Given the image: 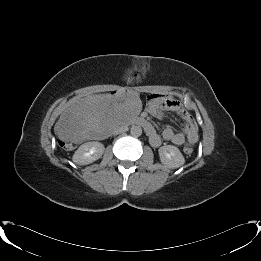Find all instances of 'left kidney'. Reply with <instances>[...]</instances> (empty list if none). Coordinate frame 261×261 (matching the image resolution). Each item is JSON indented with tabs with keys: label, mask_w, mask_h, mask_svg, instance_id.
Returning a JSON list of instances; mask_svg holds the SVG:
<instances>
[{
	"label": "left kidney",
	"mask_w": 261,
	"mask_h": 261,
	"mask_svg": "<svg viewBox=\"0 0 261 261\" xmlns=\"http://www.w3.org/2000/svg\"><path fill=\"white\" fill-rule=\"evenodd\" d=\"M158 152L162 164L170 169H176L185 163L184 156L176 146H162L159 148Z\"/></svg>",
	"instance_id": "1"
}]
</instances>
